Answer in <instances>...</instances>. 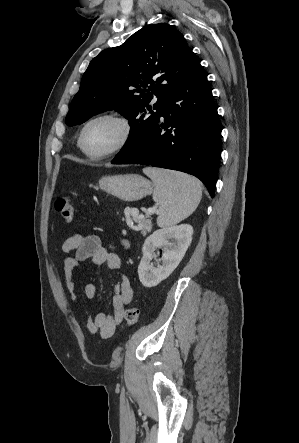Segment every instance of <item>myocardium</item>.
Returning <instances> with one entry per match:
<instances>
[{"label": "myocardium", "instance_id": "1", "mask_svg": "<svg viewBox=\"0 0 299 443\" xmlns=\"http://www.w3.org/2000/svg\"><path fill=\"white\" fill-rule=\"evenodd\" d=\"M103 119L112 120V121H115L116 123H118L122 129V136H121L120 140L118 141V143L114 147L109 149L108 151L100 153V154H94V153H91L90 151H88L85 147V144H84L85 133H86L87 128L92 123H94L98 120H103ZM132 132H133L132 123L128 117H126L122 114L116 113V112H104V113H100L98 115L93 116L83 125V127L80 131L79 138H78V145H79L80 149L82 150V152L87 157L94 159V160H101V159L111 157V156L119 153L120 151H122L129 143V141L132 137Z\"/></svg>", "mask_w": 299, "mask_h": 443}]
</instances>
